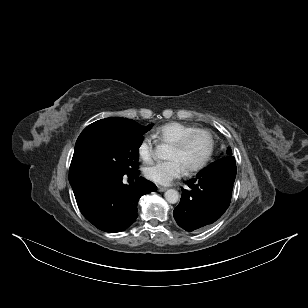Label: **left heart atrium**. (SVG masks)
I'll return each instance as SVG.
<instances>
[{
	"label": "left heart atrium",
	"mask_w": 308,
	"mask_h": 308,
	"mask_svg": "<svg viewBox=\"0 0 308 308\" xmlns=\"http://www.w3.org/2000/svg\"><path fill=\"white\" fill-rule=\"evenodd\" d=\"M184 165L176 158L148 165L144 169L146 178L159 185H168L185 173Z\"/></svg>",
	"instance_id": "39dd6f15"
}]
</instances>
